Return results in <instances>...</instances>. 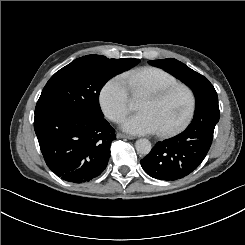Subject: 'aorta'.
<instances>
[{
	"label": "aorta",
	"mask_w": 245,
	"mask_h": 245,
	"mask_svg": "<svg viewBox=\"0 0 245 245\" xmlns=\"http://www.w3.org/2000/svg\"><path fill=\"white\" fill-rule=\"evenodd\" d=\"M135 148L139 154L147 155L150 153L152 145L148 139H138L135 143Z\"/></svg>",
	"instance_id": "1"
}]
</instances>
